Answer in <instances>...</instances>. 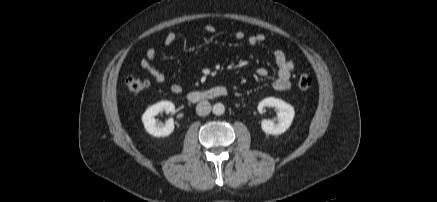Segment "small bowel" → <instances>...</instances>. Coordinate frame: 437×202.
<instances>
[{
  "label": "small bowel",
  "instance_id": "c3829d8e",
  "mask_svg": "<svg viewBox=\"0 0 437 202\" xmlns=\"http://www.w3.org/2000/svg\"><path fill=\"white\" fill-rule=\"evenodd\" d=\"M204 30L207 33H214L216 28L213 25H206ZM234 36L237 40L245 39V34L242 31H237ZM176 38L177 34L174 31L168 32L164 37L163 45L165 47H170L176 41ZM265 41L266 36L261 33L247 37V42L250 46H261ZM157 54L158 51L155 47L148 48L145 55L140 60V66L155 80V82L161 84L165 81V75L153 65V61L156 59ZM272 54L277 65V74L273 82V87L279 92L287 91L291 86L290 79L294 70V62L280 49H273ZM256 73L260 77H266L268 75V70L261 67L257 69ZM170 89L173 93H180L182 91V87L177 83H173Z\"/></svg>",
  "mask_w": 437,
  "mask_h": 202
}]
</instances>
